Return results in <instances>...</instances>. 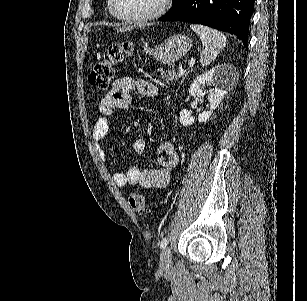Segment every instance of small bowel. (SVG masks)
<instances>
[{
	"label": "small bowel",
	"instance_id": "1",
	"mask_svg": "<svg viewBox=\"0 0 307 301\" xmlns=\"http://www.w3.org/2000/svg\"><path fill=\"white\" fill-rule=\"evenodd\" d=\"M136 90L145 97H155L159 88L146 80H134L122 77L113 83L112 89L105 95L99 104L100 116L96 119L92 138L96 144L99 155L105 160V151L100 141L109 130V117L116 111L126 110L131 104V93ZM146 149V141L138 139L133 143L132 150L135 154H142ZM158 160L161 165L158 169L131 167L127 173L116 172L112 178L118 187L138 185L142 188H165L170 180L171 172L178 163L176 149L171 143H163L158 150Z\"/></svg>",
	"mask_w": 307,
	"mask_h": 301
}]
</instances>
